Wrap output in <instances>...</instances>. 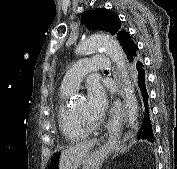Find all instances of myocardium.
<instances>
[{"mask_svg": "<svg viewBox=\"0 0 177 169\" xmlns=\"http://www.w3.org/2000/svg\"><path fill=\"white\" fill-rule=\"evenodd\" d=\"M73 113H74L78 123L87 132H92V131L97 130L104 122V117H101L97 121H90L87 118H85L83 115L76 112L75 110H73Z\"/></svg>", "mask_w": 177, "mask_h": 169, "instance_id": "1", "label": "myocardium"}]
</instances>
